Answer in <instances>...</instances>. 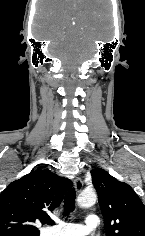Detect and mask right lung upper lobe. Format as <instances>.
Listing matches in <instances>:
<instances>
[{"instance_id": "right-lung-upper-lobe-1", "label": "right lung upper lobe", "mask_w": 145, "mask_h": 236, "mask_svg": "<svg viewBox=\"0 0 145 236\" xmlns=\"http://www.w3.org/2000/svg\"><path fill=\"white\" fill-rule=\"evenodd\" d=\"M72 182L49 169L36 170L10 183L0 194V236H39L35 221L52 224Z\"/></svg>"}]
</instances>
